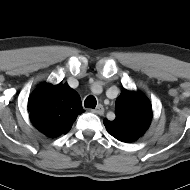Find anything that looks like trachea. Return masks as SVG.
Here are the masks:
<instances>
[{
    "label": "trachea",
    "instance_id": "obj_1",
    "mask_svg": "<svg viewBox=\"0 0 190 190\" xmlns=\"http://www.w3.org/2000/svg\"><path fill=\"white\" fill-rule=\"evenodd\" d=\"M97 101L96 98L92 95L88 96L84 101V106L86 108L94 109L96 107Z\"/></svg>",
    "mask_w": 190,
    "mask_h": 190
}]
</instances>
